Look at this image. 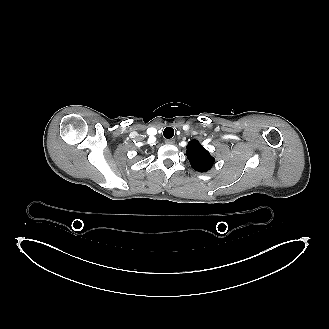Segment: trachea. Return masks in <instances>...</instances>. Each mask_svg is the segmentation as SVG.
I'll list each match as a JSON object with an SVG mask.
<instances>
[{
	"label": "trachea",
	"mask_w": 329,
	"mask_h": 329,
	"mask_svg": "<svg viewBox=\"0 0 329 329\" xmlns=\"http://www.w3.org/2000/svg\"><path fill=\"white\" fill-rule=\"evenodd\" d=\"M163 135L166 139H170L174 136V130L171 127H166L164 129Z\"/></svg>",
	"instance_id": "1"
}]
</instances>
